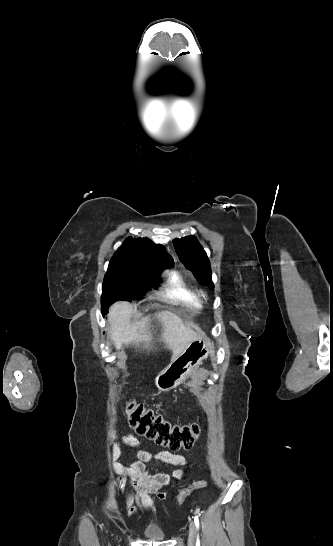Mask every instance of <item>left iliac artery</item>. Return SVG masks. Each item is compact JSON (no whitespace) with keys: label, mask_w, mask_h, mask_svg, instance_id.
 Returning <instances> with one entry per match:
<instances>
[{"label":"left iliac artery","mask_w":333,"mask_h":546,"mask_svg":"<svg viewBox=\"0 0 333 546\" xmlns=\"http://www.w3.org/2000/svg\"><path fill=\"white\" fill-rule=\"evenodd\" d=\"M194 522H195L196 528L198 529V528H199V519H198V516H195V517H194ZM196 546H200L199 537L197 538Z\"/></svg>","instance_id":"left-iliac-artery-1"}]
</instances>
